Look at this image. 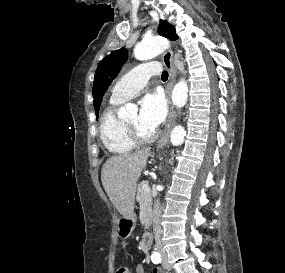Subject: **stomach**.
<instances>
[{"instance_id":"1","label":"stomach","mask_w":285,"mask_h":273,"mask_svg":"<svg viewBox=\"0 0 285 273\" xmlns=\"http://www.w3.org/2000/svg\"><path fill=\"white\" fill-rule=\"evenodd\" d=\"M135 221H136L135 216L129 219L124 218L120 222L119 228H118L120 235L122 236L129 235L135 227ZM126 228H128V231L126 230Z\"/></svg>"}]
</instances>
